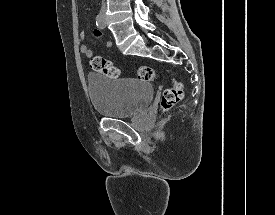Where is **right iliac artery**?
I'll return each mask as SVG.
<instances>
[{
	"label": "right iliac artery",
	"mask_w": 275,
	"mask_h": 215,
	"mask_svg": "<svg viewBox=\"0 0 275 215\" xmlns=\"http://www.w3.org/2000/svg\"><path fill=\"white\" fill-rule=\"evenodd\" d=\"M96 25L100 29H104L105 28V23H104L103 17L101 15H98L96 17Z\"/></svg>",
	"instance_id": "right-iliac-artery-1"
}]
</instances>
